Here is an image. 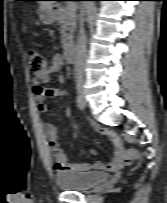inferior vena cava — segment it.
<instances>
[{"mask_svg": "<svg viewBox=\"0 0 167 203\" xmlns=\"http://www.w3.org/2000/svg\"><path fill=\"white\" fill-rule=\"evenodd\" d=\"M86 44L87 38L83 27V18L80 20V30L78 36V43L76 47V61H75V72L79 78L83 77L86 59Z\"/></svg>", "mask_w": 167, "mask_h": 203, "instance_id": "inferior-vena-cava-1", "label": "inferior vena cava"}]
</instances>
